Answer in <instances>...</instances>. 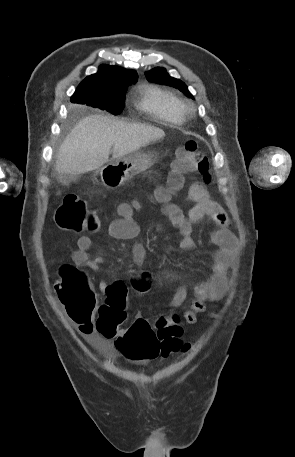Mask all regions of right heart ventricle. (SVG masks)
<instances>
[{
    "mask_svg": "<svg viewBox=\"0 0 295 457\" xmlns=\"http://www.w3.org/2000/svg\"><path fill=\"white\" fill-rule=\"evenodd\" d=\"M137 108L149 116L172 124L184 119L182 102L172 92L157 85H142L137 89Z\"/></svg>",
    "mask_w": 295,
    "mask_h": 457,
    "instance_id": "obj_1",
    "label": "right heart ventricle"
}]
</instances>
